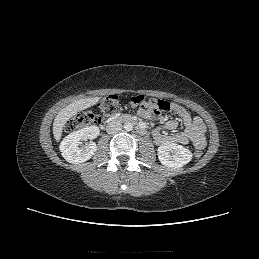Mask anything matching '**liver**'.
Returning <instances> with one entry per match:
<instances>
[{
    "label": "liver",
    "instance_id": "liver-1",
    "mask_svg": "<svg viewBox=\"0 0 259 259\" xmlns=\"http://www.w3.org/2000/svg\"><path fill=\"white\" fill-rule=\"evenodd\" d=\"M99 97L85 98L76 100L65 108H63L55 117L53 122V135L56 141H59L62 136V130L67 121L75 116L78 112L95 105L99 101Z\"/></svg>",
    "mask_w": 259,
    "mask_h": 259
}]
</instances>
